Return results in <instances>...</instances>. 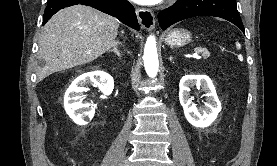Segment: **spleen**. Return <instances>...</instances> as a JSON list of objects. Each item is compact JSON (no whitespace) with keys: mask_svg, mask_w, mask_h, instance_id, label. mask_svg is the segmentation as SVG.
Returning a JSON list of instances; mask_svg holds the SVG:
<instances>
[{"mask_svg":"<svg viewBox=\"0 0 277 166\" xmlns=\"http://www.w3.org/2000/svg\"><path fill=\"white\" fill-rule=\"evenodd\" d=\"M236 47H237V49H240L241 48V45H240V43H236Z\"/></svg>","mask_w":277,"mask_h":166,"instance_id":"1","label":"spleen"}]
</instances>
